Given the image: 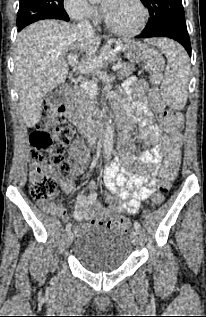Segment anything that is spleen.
<instances>
[{
    "label": "spleen",
    "instance_id": "spleen-1",
    "mask_svg": "<svg viewBox=\"0 0 206 317\" xmlns=\"http://www.w3.org/2000/svg\"><path fill=\"white\" fill-rule=\"evenodd\" d=\"M157 46L167 58V67L161 85V95L164 102L171 108L181 110L188 97L190 67L188 56L175 41L159 38L147 41Z\"/></svg>",
    "mask_w": 206,
    "mask_h": 317
}]
</instances>
